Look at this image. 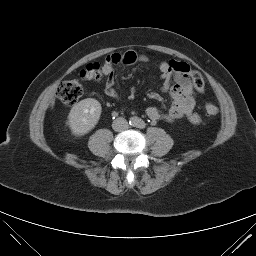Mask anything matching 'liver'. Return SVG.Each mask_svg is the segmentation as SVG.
Wrapping results in <instances>:
<instances>
[{"label": "liver", "instance_id": "6515ba94", "mask_svg": "<svg viewBox=\"0 0 256 256\" xmlns=\"http://www.w3.org/2000/svg\"><path fill=\"white\" fill-rule=\"evenodd\" d=\"M54 103H55V102H54V99H52L51 106H53V105H54Z\"/></svg>", "mask_w": 256, "mask_h": 256}]
</instances>
